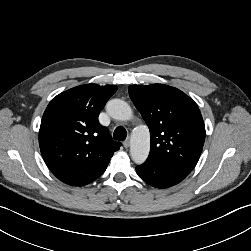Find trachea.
<instances>
[{"label": "trachea", "mask_w": 251, "mask_h": 251, "mask_svg": "<svg viewBox=\"0 0 251 251\" xmlns=\"http://www.w3.org/2000/svg\"><path fill=\"white\" fill-rule=\"evenodd\" d=\"M126 136H127V131L124 127L118 126L114 130L113 137L115 140L124 141L126 139Z\"/></svg>", "instance_id": "obj_1"}]
</instances>
